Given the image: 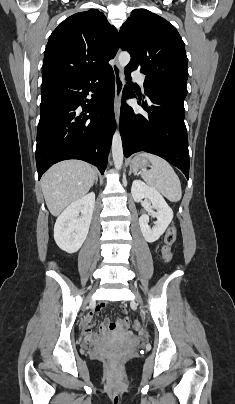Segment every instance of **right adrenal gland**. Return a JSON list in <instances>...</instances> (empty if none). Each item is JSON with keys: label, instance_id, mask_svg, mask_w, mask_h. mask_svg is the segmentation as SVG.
Instances as JSON below:
<instances>
[{"label": "right adrenal gland", "instance_id": "1", "mask_svg": "<svg viewBox=\"0 0 235 404\" xmlns=\"http://www.w3.org/2000/svg\"><path fill=\"white\" fill-rule=\"evenodd\" d=\"M98 183V176L95 177V184Z\"/></svg>", "mask_w": 235, "mask_h": 404}]
</instances>
